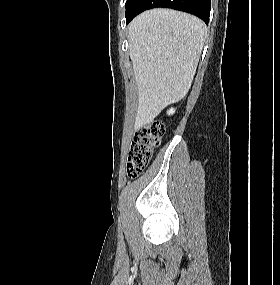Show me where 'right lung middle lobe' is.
Returning <instances> with one entry per match:
<instances>
[{
  "label": "right lung middle lobe",
  "instance_id": "dd1d6c3e",
  "mask_svg": "<svg viewBox=\"0 0 280 285\" xmlns=\"http://www.w3.org/2000/svg\"><path fill=\"white\" fill-rule=\"evenodd\" d=\"M140 0H127L125 7H126V17L129 16L136 8L137 4Z\"/></svg>",
  "mask_w": 280,
  "mask_h": 285
}]
</instances>
